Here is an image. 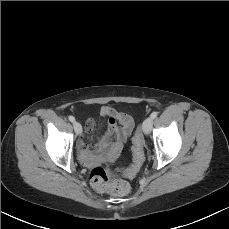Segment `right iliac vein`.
Returning a JSON list of instances; mask_svg holds the SVG:
<instances>
[{"instance_id": "right-iliac-vein-1", "label": "right iliac vein", "mask_w": 229, "mask_h": 229, "mask_svg": "<svg viewBox=\"0 0 229 229\" xmlns=\"http://www.w3.org/2000/svg\"><path fill=\"white\" fill-rule=\"evenodd\" d=\"M73 126H74L75 133H76L77 135H79V134L82 133V126H81V124H80L79 122L75 121V122L73 123Z\"/></svg>"}]
</instances>
